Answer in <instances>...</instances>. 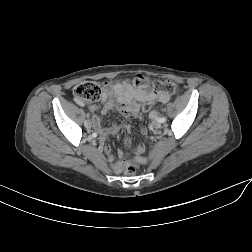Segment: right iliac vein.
<instances>
[{
    "label": "right iliac vein",
    "instance_id": "obj_1",
    "mask_svg": "<svg viewBox=\"0 0 252 252\" xmlns=\"http://www.w3.org/2000/svg\"><path fill=\"white\" fill-rule=\"evenodd\" d=\"M84 125H85V127L87 129H90L92 127V122L91 121H85Z\"/></svg>",
    "mask_w": 252,
    "mask_h": 252
}]
</instances>
